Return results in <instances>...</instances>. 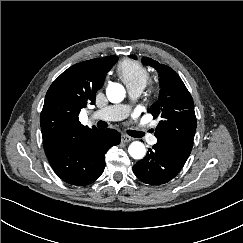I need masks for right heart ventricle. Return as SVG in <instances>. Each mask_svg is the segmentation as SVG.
Returning <instances> with one entry per match:
<instances>
[{"label": "right heart ventricle", "instance_id": "right-heart-ventricle-1", "mask_svg": "<svg viewBox=\"0 0 243 243\" xmlns=\"http://www.w3.org/2000/svg\"><path fill=\"white\" fill-rule=\"evenodd\" d=\"M118 74L127 88L137 87L144 89L150 80L148 69L134 60H124L117 68Z\"/></svg>", "mask_w": 243, "mask_h": 243}]
</instances>
